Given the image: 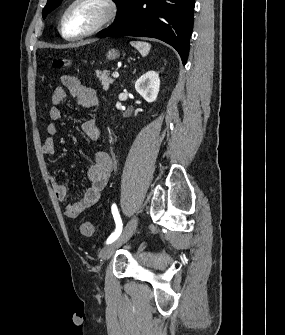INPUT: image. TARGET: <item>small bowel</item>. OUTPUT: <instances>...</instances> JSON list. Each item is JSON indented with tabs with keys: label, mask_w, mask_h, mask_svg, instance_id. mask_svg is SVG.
<instances>
[{
	"label": "small bowel",
	"mask_w": 285,
	"mask_h": 335,
	"mask_svg": "<svg viewBox=\"0 0 285 335\" xmlns=\"http://www.w3.org/2000/svg\"><path fill=\"white\" fill-rule=\"evenodd\" d=\"M62 85L57 87L51 97L49 117L51 122L46 127L48 137L42 145V152L47 157H52L55 153L54 138L58 134L57 122L62 118L60 105L65 101L69 92L83 108L93 111L99 105L96 91L84 86L80 80L71 75L61 77ZM83 134L90 140H97L100 132L92 117L87 118L81 125ZM113 171V161L110 155L103 151L95 154L94 160L87 169V179L89 186L84 190L81 198L74 203H67L64 206V215L68 218H77L84 210L93 206L100 198L101 192L107 184ZM52 189L58 201L64 202L67 198L66 186L55 177H50Z\"/></svg>",
	"instance_id": "small-bowel-1"
}]
</instances>
